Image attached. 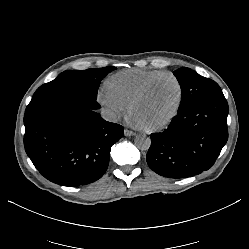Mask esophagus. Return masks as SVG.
Listing matches in <instances>:
<instances>
[{"mask_svg":"<svg viewBox=\"0 0 249 249\" xmlns=\"http://www.w3.org/2000/svg\"><path fill=\"white\" fill-rule=\"evenodd\" d=\"M124 134H125V136H134L135 132H133V131H131L129 129H125Z\"/></svg>","mask_w":249,"mask_h":249,"instance_id":"1","label":"esophagus"}]
</instances>
